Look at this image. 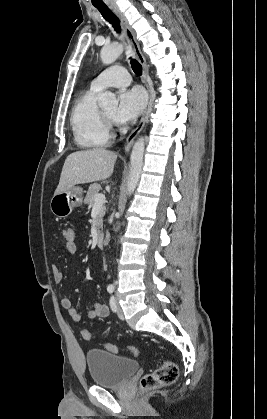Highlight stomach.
<instances>
[{
	"label": "stomach",
	"instance_id": "obj_1",
	"mask_svg": "<svg viewBox=\"0 0 267 419\" xmlns=\"http://www.w3.org/2000/svg\"><path fill=\"white\" fill-rule=\"evenodd\" d=\"M83 203V189L73 186L65 192L54 194L50 201L51 212L59 217L66 218L75 207Z\"/></svg>",
	"mask_w": 267,
	"mask_h": 419
}]
</instances>
